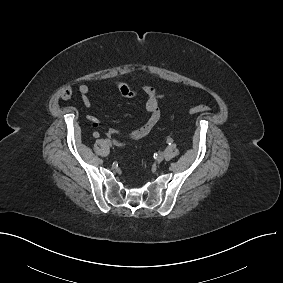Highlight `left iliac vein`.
Returning a JSON list of instances; mask_svg holds the SVG:
<instances>
[{"mask_svg":"<svg viewBox=\"0 0 283 283\" xmlns=\"http://www.w3.org/2000/svg\"><path fill=\"white\" fill-rule=\"evenodd\" d=\"M164 158H165V154L164 153H159L157 158H156V161L158 163H160V162H162L164 160Z\"/></svg>","mask_w":283,"mask_h":283,"instance_id":"4c4485c4","label":"left iliac vein"}]
</instances>
